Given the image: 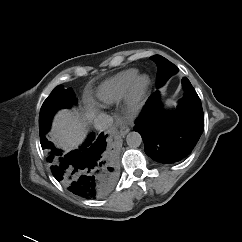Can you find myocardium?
Here are the masks:
<instances>
[{"instance_id": "1", "label": "myocardium", "mask_w": 242, "mask_h": 242, "mask_svg": "<svg viewBox=\"0 0 242 242\" xmlns=\"http://www.w3.org/2000/svg\"><path fill=\"white\" fill-rule=\"evenodd\" d=\"M150 86V78L146 74H139L134 79L126 98L127 109L131 112L139 111L144 105Z\"/></svg>"}]
</instances>
